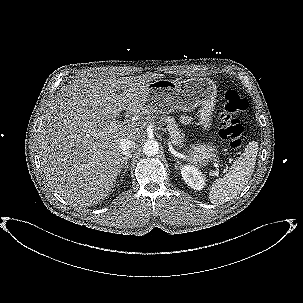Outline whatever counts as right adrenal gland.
I'll list each match as a JSON object with an SVG mask.
<instances>
[{
  "mask_svg": "<svg viewBox=\"0 0 303 303\" xmlns=\"http://www.w3.org/2000/svg\"><path fill=\"white\" fill-rule=\"evenodd\" d=\"M132 156L131 155H128V156H125L122 158V161H121V170L124 169V175L126 174L127 172V169H128V159H130Z\"/></svg>",
  "mask_w": 303,
  "mask_h": 303,
  "instance_id": "2a0ac1e0",
  "label": "right adrenal gland"
}]
</instances>
